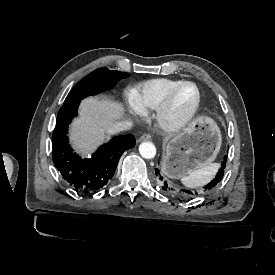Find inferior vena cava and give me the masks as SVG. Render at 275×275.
Instances as JSON below:
<instances>
[{"label": "inferior vena cava", "instance_id": "obj_1", "mask_svg": "<svg viewBox=\"0 0 275 275\" xmlns=\"http://www.w3.org/2000/svg\"><path fill=\"white\" fill-rule=\"evenodd\" d=\"M132 127H133V124L131 122L119 121V122H114L113 125L108 128V131L110 133H114L118 131H127V130H130Z\"/></svg>", "mask_w": 275, "mask_h": 275}]
</instances>
